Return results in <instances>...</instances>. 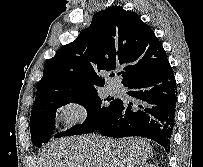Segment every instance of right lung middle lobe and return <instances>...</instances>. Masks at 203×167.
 <instances>
[{
	"instance_id": "obj_1",
	"label": "right lung middle lobe",
	"mask_w": 203,
	"mask_h": 167,
	"mask_svg": "<svg viewBox=\"0 0 203 167\" xmlns=\"http://www.w3.org/2000/svg\"><path fill=\"white\" fill-rule=\"evenodd\" d=\"M72 102L81 103L86 107L87 118L81 125L59 133L55 135V138L62 135L87 134L95 131L100 122L116 107L119 99H101L97 91H94L78 96L55 98L33 109L30 118V132L34 145L41 147L43 143L50 140L55 128L56 110Z\"/></svg>"
}]
</instances>
